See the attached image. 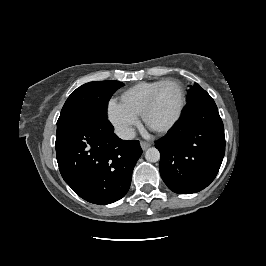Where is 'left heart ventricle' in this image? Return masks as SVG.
I'll use <instances>...</instances> for the list:
<instances>
[{"mask_svg":"<svg viewBox=\"0 0 266 266\" xmlns=\"http://www.w3.org/2000/svg\"><path fill=\"white\" fill-rule=\"evenodd\" d=\"M180 103V91L176 84H167L159 92L149 112L148 123L152 128L165 126L175 115Z\"/></svg>","mask_w":266,"mask_h":266,"instance_id":"1","label":"left heart ventricle"}]
</instances>
